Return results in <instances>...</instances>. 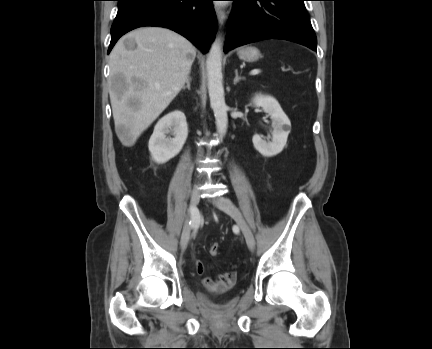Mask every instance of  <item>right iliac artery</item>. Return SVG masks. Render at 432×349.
Listing matches in <instances>:
<instances>
[{"instance_id": "82829eb1", "label": "right iliac artery", "mask_w": 432, "mask_h": 349, "mask_svg": "<svg viewBox=\"0 0 432 349\" xmlns=\"http://www.w3.org/2000/svg\"><path fill=\"white\" fill-rule=\"evenodd\" d=\"M193 219L196 217L194 214L191 216ZM191 226H194V222L193 221H190V223H189Z\"/></svg>"}]
</instances>
